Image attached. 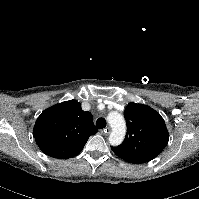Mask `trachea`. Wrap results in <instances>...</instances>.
Listing matches in <instances>:
<instances>
[{"label": "trachea", "mask_w": 199, "mask_h": 199, "mask_svg": "<svg viewBox=\"0 0 199 199\" xmlns=\"http://www.w3.org/2000/svg\"><path fill=\"white\" fill-rule=\"evenodd\" d=\"M96 125L99 129H103L106 127V120L104 118H98L96 121Z\"/></svg>", "instance_id": "3493384b"}]
</instances>
